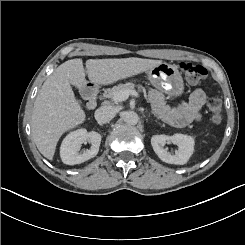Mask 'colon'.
Listing matches in <instances>:
<instances>
[{"instance_id": "1", "label": "colon", "mask_w": 245, "mask_h": 245, "mask_svg": "<svg viewBox=\"0 0 245 245\" xmlns=\"http://www.w3.org/2000/svg\"><path fill=\"white\" fill-rule=\"evenodd\" d=\"M180 70L191 83L197 84L203 81L207 71L200 65H195L191 62H181ZM206 106L210 114L212 123L218 125L222 121V102L218 97H210L206 100Z\"/></svg>"}]
</instances>
